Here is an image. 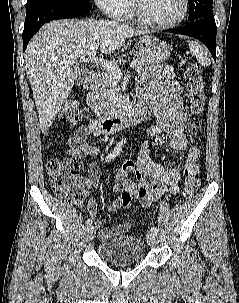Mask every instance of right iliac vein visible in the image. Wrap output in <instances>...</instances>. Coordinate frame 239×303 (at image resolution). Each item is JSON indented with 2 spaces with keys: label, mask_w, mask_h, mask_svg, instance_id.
Segmentation results:
<instances>
[{
  "label": "right iliac vein",
  "mask_w": 239,
  "mask_h": 303,
  "mask_svg": "<svg viewBox=\"0 0 239 303\" xmlns=\"http://www.w3.org/2000/svg\"><path fill=\"white\" fill-rule=\"evenodd\" d=\"M95 231L96 230H95L94 226H89L86 229V234H85V241L86 242H89V241H91L94 238Z\"/></svg>",
  "instance_id": "right-iliac-vein-1"
}]
</instances>
